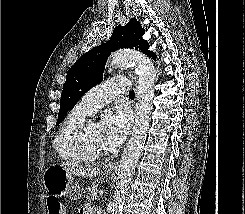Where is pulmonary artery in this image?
I'll use <instances>...</instances> for the list:
<instances>
[{
    "mask_svg": "<svg viewBox=\"0 0 245 214\" xmlns=\"http://www.w3.org/2000/svg\"><path fill=\"white\" fill-rule=\"evenodd\" d=\"M129 89V81L113 77L90 89L80 100V105L90 114L111 102L115 96Z\"/></svg>",
    "mask_w": 245,
    "mask_h": 214,
    "instance_id": "1",
    "label": "pulmonary artery"
}]
</instances>
